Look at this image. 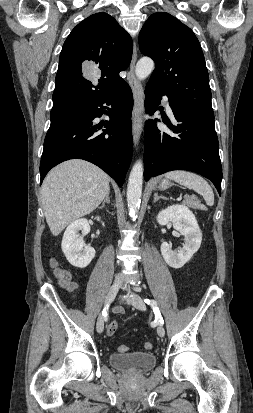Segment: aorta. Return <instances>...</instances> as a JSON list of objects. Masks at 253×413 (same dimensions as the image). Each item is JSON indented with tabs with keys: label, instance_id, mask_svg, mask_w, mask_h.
<instances>
[{
	"label": "aorta",
	"instance_id": "aorta-1",
	"mask_svg": "<svg viewBox=\"0 0 253 413\" xmlns=\"http://www.w3.org/2000/svg\"><path fill=\"white\" fill-rule=\"evenodd\" d=\"M154 69V61L149 57H142L136 64L135 74L139 80L146 79ZM143 163L138 160L129 176L127 187V203L129 207V215L135 218L138 208L141 203L142 184H143Z\"/></svg>",
	"mask_w": 253,
	"mask_h": 413
}]
</instances>
